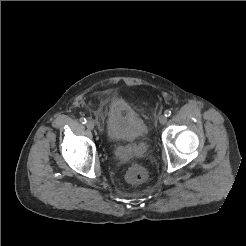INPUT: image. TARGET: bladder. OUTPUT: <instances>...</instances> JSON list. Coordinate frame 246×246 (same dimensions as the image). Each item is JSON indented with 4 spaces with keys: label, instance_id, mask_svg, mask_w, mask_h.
<instances>
[{
    "label": "bladder",
    "instance_id": "bladder-1",
    "mask_svg": "<svg viewBox=\"0 0 246 246\" xmlns=\"http://www.w3.org/2000/svg\"><path fill=\"white\" fill-rule=\"evenodd\" d=\"M106 134L113 142H133L145 138L148 129L143 118L118 97L109 99L105 106ZM126 153H117L116 159L124 161Z\"/></svg>",
    "mask_w": 246,
    "mask_h": 246
}]
</instances>
